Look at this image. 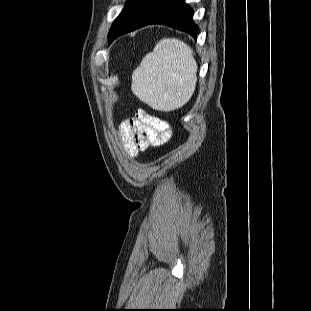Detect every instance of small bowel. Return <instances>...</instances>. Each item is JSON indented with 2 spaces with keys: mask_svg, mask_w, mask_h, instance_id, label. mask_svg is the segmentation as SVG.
Masks as SVG:
<instances>
[{
  "mask_svg": "<svg viewBox=\"0 0 311 311\" xmlns=\"http://www.w3.org/2000/svg\"><path fill=\"white\" fill-rule=\"evenodd\" d=\"M119 137L125 152L135 157L149 146L165 144L171 137L170 125L139 110L135 117L121 123Z\"/></svg>",
  "mask_w": 311,
  "mask_h": 311,
  "instance_id": "obj_1",
  "label": "small bowel"
}]
</instances>
